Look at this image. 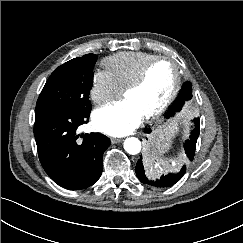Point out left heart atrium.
<instances>
[{
    "mask_svg": "<svg viewBox=\"0 0 243 243\" xmlns=\"http://www.w3.org/2000/svg\"><path fill=\"white\" fill-rule=\"evenodd\" d=\"M144 117L142 111L125 98L96 109L93 113V124L105 134L124 136L137 128Z\"/></svg>",
    "mask_w": 243,
    "mask_h": 243,
    "instance_id": "left-heart-atrium-1",
    "label": "left heart atrium"
}]
</instances>
